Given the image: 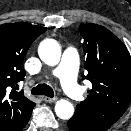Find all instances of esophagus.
Returning a JSON list of instances; mask_svg holds the SVG:
<instances>
[{
	"instance_id": "1",
	"label": "esophagus",
	"mask_w": 131,
	"mask_h": 131,
	"mask_svg": "<svg viewBox=\"0 0 131 131\" xmlns=\"http://www.w3.org/2000/svg\"><path fill=\"white\" fill-rule=\"evenodd\" d=\"M43 100L47 103H53L58 100V97L50 98V97H44Z\"/></svg>"
}]
</instances>
